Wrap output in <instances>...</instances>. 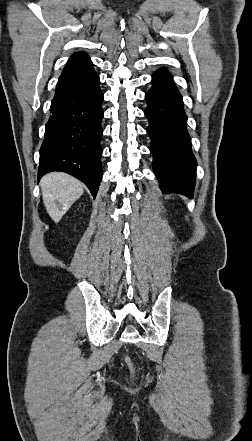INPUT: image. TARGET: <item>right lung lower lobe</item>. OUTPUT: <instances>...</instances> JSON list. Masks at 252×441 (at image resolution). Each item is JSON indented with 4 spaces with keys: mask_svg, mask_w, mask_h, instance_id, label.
<instances>
[{
    "mask_svg": "<svg viewBox=\"0 0 252 441\" xmlns=\"http://www.w3.org/2000/svg\"><path fill=\"white\" fill-rule=\"evenodd\" d=\"M91 60L61 74L40 148L38 179L52 171L73 175L95 198L102 179L103 93Z\"/></svg>",
    "mask_w": 252,
    "mask_h": 441,
    "instance_id": "right-lung-lower-lobe-1",
    "label": "right lung lower lobe"
}]
</instances>
